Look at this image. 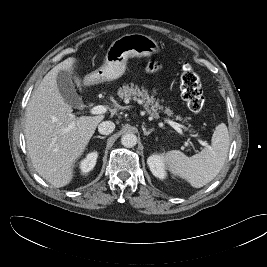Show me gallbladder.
I'll use <instances>...</instances> for the list:
<instances>
[{
	"mask_svg": "<svg viewBox=\"0 0 267 267\" xmlns=\"http://www.w3.org/2000/svg\"><path fill=\"white\" fill-rule=\"evenodd\" d=\"M57 85L61 96L70 106L80 108L83 105L82 99L78 95L73 82L72 72L66 70L59 71L57 75Z\"/></svg>",
	"mask_w": 267,
	"mask_h": 267,
	"instance_id": "obj_1",
	"label": "gallbladder"
}]
</instances>
